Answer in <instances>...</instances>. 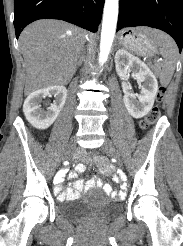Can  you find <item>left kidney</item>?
Listing matches in <instances>:
<instances>
[{
  "label": "left kidney",
  "mask_w": 183,
  "mask_h": 246,
  "mask_svg": "<svg viewBox=\"0 0 183 246\" xmlns=\"http://www.w3.org/2000/svg\"><path fill=\"white\" fill-rule=\"evenodd\" d=\"M117 74L122 79L124 93L123 101L129 114L134 118H142L152 109L158 91V82L149 67L138 57L125 49H119L115 54ZM132 71L140 87V93L131 91L127 83V74Z\"/></svg>",
  "instance_id": "obj_1"
}]
</instances>
